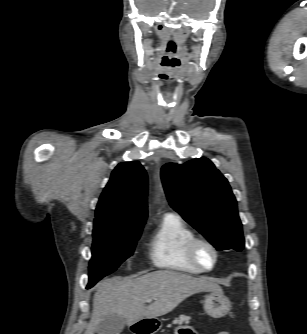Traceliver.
<instances>
[{"label":"liver","instance_id":"1","mask_svg":"<svg viewBox=\"0 0 307 334\" xmlns=\"http://www.w3.org/2000/svg\"><path fill=\"white\" fill-rule=\"evenodd\" d=\"M203 291H221V287L206 278L170 270L135 278L105 279L97 284L92 316L84 334H94L99 323L110 314L122 316L130 326L145 317L165 315L190 295ZM148 298L154 302L146 306Z\"/></svg>","mask_w":307,"mask_h":334}]
</instances>
